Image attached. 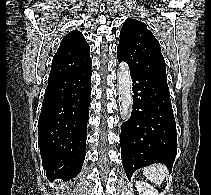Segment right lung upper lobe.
<instances>
[{
    "instance_id": "cb5924a9",
    "label": "right lung upper lobe",
    "mask_w": 211,
    "mask_h": 195,
    "mask_svg": "<svg viewBox=\"0 0 211 195\" xmlns=\"http://www.w3.org/2000/svg\"><path fill=\"white\" fill-rule=\"evenodd\" d=\"M91 64L90 48L78 30L69 32L61 41L53 57L49 79L82 70Z\"/></svg>"
}]
</instances>
